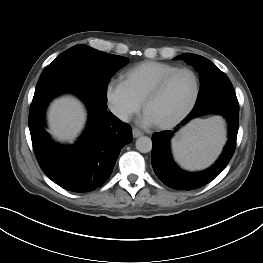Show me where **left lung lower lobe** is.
I'll return each mask as SVG.
<instances>
[{"label":"left lung lower lobe","instance_id":"1","mask_svg":"<svg viewBox=\"0 0 263 263\" xmlns=\"http://www.w3.org/2000/svg\"><path fill=\"white\" fill-rule=\"evenodd\" d=\"M203 114H219L229 125L228 141L220 158L202 172L190 173L180 169L172 159L170 139L175 131H163L152 136V167L157 177L168 187L179 190H194L211 182L227 166L236 147L238 133L239 103L235 93L210 96L196 103L194 109L183 119L185 125L192 118Z\"/></svg>","mask_w":263,"mask_h":263}]
</instances>
